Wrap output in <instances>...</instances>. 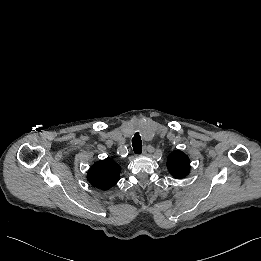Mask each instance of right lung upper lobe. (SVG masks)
<instances>
[{"mask_svg": "<svg viewBox=\"0 0 261 261\" xmlns=\"http://www.w3.org/2000/svg\"><path fill=\"white\" fill-rule=\"evenodd\" d=\"M120 166L110 158L94 163L87 174L89 182L100 189H109L119 181Z\"/></svg>", "mask_w": 261, "mask_h": 261, "instance_id": "1", "label": "right lung upper lobe"}]
</instances>
